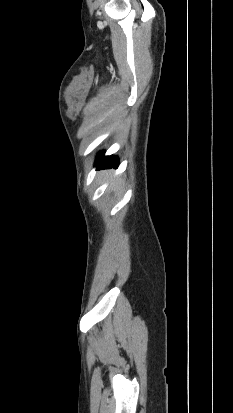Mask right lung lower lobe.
I'll list each match as a JSON object with an SVG mask.
<instances>
[{
  "label": "right lung lower lobe",
  "mask_w": 233,
  "mask_h": 413,
  "mask_svg": "<svg viewBox=\"0 0 233 413\" xmlns=\"http://www.w3.org/2000/svg\"><path fill=\"white\" fill-rule=\"evenodd\" d=\"M119 164L118 158L115 156H108L104 157L103 154L99 155L96 166L98 169L101 168H111V167H117Z\"/></svg>",
  "instance_id": "98d812e1"
}]
</instances>
